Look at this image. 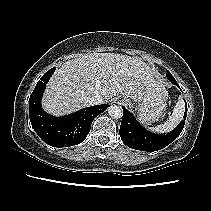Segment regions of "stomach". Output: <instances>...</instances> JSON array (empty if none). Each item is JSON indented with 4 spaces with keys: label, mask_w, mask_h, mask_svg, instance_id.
Masks as SVG:
<instances>
[{
    "label": "stomach",
    "mask_w": 211,
    "mask_h": 211,
    "mask_svg": "<svg viewBox=\"0 0 211 211\" xmlns=\"http://www.w3.org/2000/svg\"><path fill=\"white\" fill-rule=\"evenodd\" d=\"M168 99V93H159L153 97L147 98L141 101L136 108L138 120L145 125H149L162 116L166 109V101ZM122 101L129 106L131 103L129 99L124 96Z\"/></svg>",
    "instance_id": "0dacf381"
}]
</instances>
